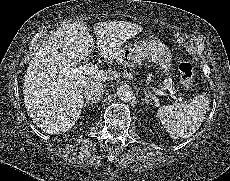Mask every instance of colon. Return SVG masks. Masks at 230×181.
<instances>
[{
    "label": "colon",
    "instance_id": "5ec220e1",
    "mask_svg": "<svg viewBox=\"0 0 230 181\" xmlns=\"http://www.w3.org/2000/svg\"><path fill=\"white\" fill-rule=\"evenodd\" d=\"M180 79L183 84H189L192 80L193 70L189 63L182 62L178 66Z\"/></svg>",
    "mask_w": 230,
    "mask_h": 181
}]
</instances>
